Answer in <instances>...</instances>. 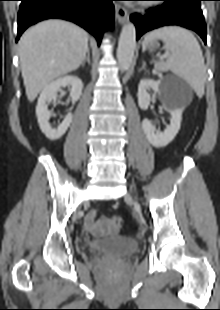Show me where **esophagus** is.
Segmentation results:
<instances>
[{"label": "esophagus", "mask_w": 220, "mask_h": 310, "mask_svg": "<svg viewBox=\"0 0 220 310\" xmlns=\"http://www.w3.org/2000/svg\"><path fill=\"white\" fill-rule=\"evenodd\" d=\"M115 15L120 24H124L129 18L127 9L121 5H115Z\"/></svg>", "instance_id": "obj_1"}]
</instances>
